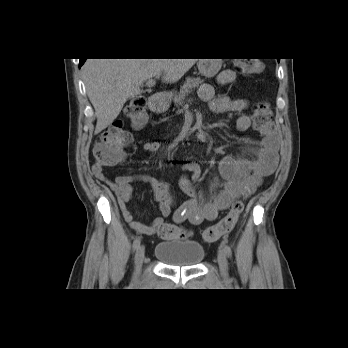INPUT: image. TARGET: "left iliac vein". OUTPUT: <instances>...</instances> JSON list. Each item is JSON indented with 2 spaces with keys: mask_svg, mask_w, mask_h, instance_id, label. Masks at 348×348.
I'll use <instances>...</instances> for the list:
<instances>
[{
  "mask_svg": "<svg viewBox=\"0 0 348 348\" xmlns=\"http://www.w3.org/2000/svg\"><path fill=\"white\" fill-rule=\"evenodd\" d=\"M217 261L220 268L221 276L224 280L228 279V261L225 253L220 249L217 255Z\"/></svg>",
  "mask_w": 348,
  "mask_h": 348,
  "instance_id": "obj_1",
  "label": "left iliac vein"
}]
</instances>
